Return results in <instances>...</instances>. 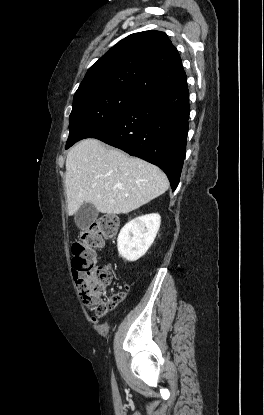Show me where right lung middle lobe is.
<instances>
[{
	"label": "right lung middle lobe",
	"mask_w": 264,
	"mask_h": 415,
	"mask_svg": "<svg viewBox=\"0 0 264 415\" xmlns=\"http://www.w3.org/2000/svg\"><path fill=\"white\" fill-rule=\"evenodd\" d=\"M141 99L136 94L122 91L74 98L66 149L77 141L88 138L91 133L118 118Z\"/></svg>",
	"instance_id": "1"
}]
</instances>
